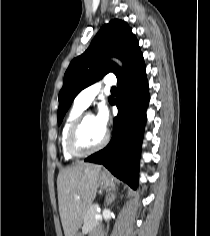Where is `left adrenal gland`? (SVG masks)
Returning <instances> with one entry per match:
<instances>
[{
    "mask_svg": "<svg viewBox=\"0 0 210 236\" xmlns=\"http://www.w3.org/2000/svg\"><path fill=\"white\" fill-rule=\"evenodd\" d=\"M116 197V193H111L108 195L107 199H106V205L108 206Z\"/></svg>",
    "mask_w": 210,
    "mask_h": 236,
    "instance_id": "a2214340",
    "label": "left adrenal gland"
}]
</instances>
